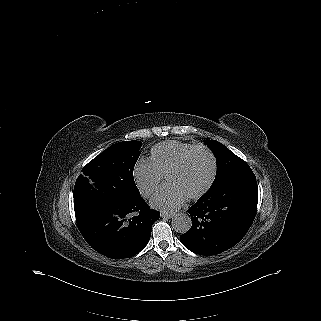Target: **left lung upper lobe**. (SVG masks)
Listing matches in <instances>:
<instances>
[{
	"instance_id": "left-lung-upper-lobe-1",
	"label": "left lung upper lobe",
	"mask_w": 321,
	"mask_h": 321,
	"mask_svg": "<svg viewBox=\"0 0 321 321\" xmlns=\"http://www.w3.org/2000/svg\"><path fill=\"white\" fill-rule=\"evenodd\" d=\"M206 145L213 152L217 163L216 177L211 188L217 186L234 173L251 170L244 160L239 158L220 142L216 140H207Z\"/></svg>"
}]
</instances>
